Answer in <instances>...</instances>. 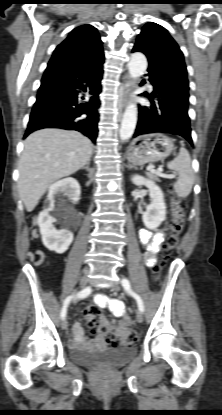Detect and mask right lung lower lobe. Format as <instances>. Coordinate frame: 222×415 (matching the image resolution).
Masks as SVG:
<instances>
[{"mask_svg": "<svg viewBox=\"0 0 222 415\" xmlns=\"http://www.w3.org/2000/svg\"><path fill=\"white\" fill-rule=\"evenodd\" d=\"M102 64L75 67L48 64L30 114L25 136L42 128L77 130L95 143L99 121ZM87 93L88 101L79 97Z\"/></svg>", "mask_w": 222, "mask_h": 415, "instance_id": "obj_1", "label": "right lung lower lobe"}]
</instances>
